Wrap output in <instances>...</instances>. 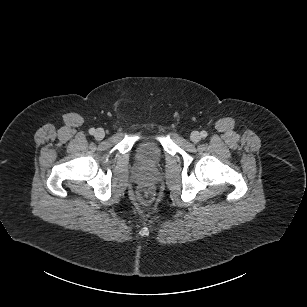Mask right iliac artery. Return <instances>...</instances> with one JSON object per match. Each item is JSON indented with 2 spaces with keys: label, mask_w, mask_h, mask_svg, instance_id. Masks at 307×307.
I'll return each instance as SVG.
<instances>
[{
  "label": "right iliac artery",
  "mask_w": 307,
  "mask_h": 307,
  "mask_svg": "<svg viewBox=\"0 0 307 307\" xmlns=\"http://www.w3.org/2000/svg\"><path fill=\"white\" fill-rule=\"evenodd\" d=\"M89 133H90L91 135L95 134V129H94V128H91V129L89 130Z\"/></svg>",
  "instance_id": "82829eb1"
}]
</instances>
